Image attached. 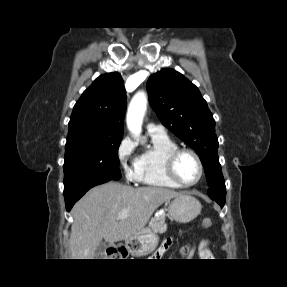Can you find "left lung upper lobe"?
<instances>
[{
  "label": "left lung upper lobe",
  "instance_id": "left-lung-upper-lobe-1",
  "mask_svg": "<svg viewBox=\"0 0 287 287\" xmlns=\"http://www.w3.org/2000/svg\"><path fill=\"white\" fill-rule=\"evenodd\" d=\"M149 100L164 126L191 146L203 163L208 195L224 200L226 186L218 158L215 121L198 88L173 69H162L149 77Z\"/></svg>",
  "mask_w": 287,
  "mask_h": 287
}]
</instances>
